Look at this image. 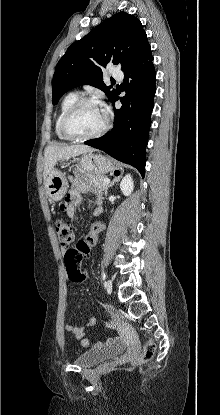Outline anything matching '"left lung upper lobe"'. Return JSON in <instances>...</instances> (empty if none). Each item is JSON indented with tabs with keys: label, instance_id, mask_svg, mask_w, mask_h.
Wrapping results in <instances>:
<instances>
[{
	"label": "left lung upper lobe",
	"instance_id": "left-lung-upper-lobe-1",
	"mask_svg": "<svg viewBox=\"0 0 220 415\" xmlns=\"http://www.w3.org/2000/svg\"><path fill=\"white\" fill-rule=\"evenodd\" d=\"M150 57L151 47L140 20L119 12L69 46L53 76L52 103L57 104L69 89L85 84L101 89L110 100L115 90L104 84L103 68L109 62H121L125 71Z\"/></svg>",
	"mask_w": 220,
	"mask_h": 415
}]
</instances>
